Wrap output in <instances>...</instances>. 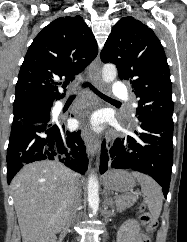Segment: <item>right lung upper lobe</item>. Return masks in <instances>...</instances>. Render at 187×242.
<instances>
[{
    "instance_id": "cb5924a9",
    "label": "right lung upper lobe",
    "mask_w": 187,
    "mask_h": 242,
    "mask_svg": "<svg viewBox=\"0 0 187 242\" xmlns=\"http://www.w3.org/2000/svg\"><path fill=\"white\" fill-rule=\"evenodd\" d=\"M97 52V42L82 17L54 20L36 36L26 53L13 106L52 105L65 95L59 93L58 87L66 88L94 60Z\"/></svg>"
}]
</instances>
